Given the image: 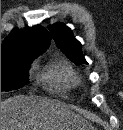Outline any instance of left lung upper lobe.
Here are the masks:
<instances>
[{"label":"left lung upper lobe","instance_id":"5c2ea615","mask_svg":"<svg viewBox=\"0 0 123 130\" xmlns=\"http://www.w3.org/2000/svg\"><path fill=\"white\" fill-rule=\"evenodd\" d=\"M58 47L76 65L87 63L81 51V43L75 39L72 31L63 23H55L49 26Z\"/></svg>","mask_w":123,"mask_h":130}]
</instances>
